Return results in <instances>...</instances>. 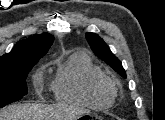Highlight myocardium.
<instances>
[{
	"instance_id": "1",
	"label": "myocardium",
	"mask_w": 165,
	"mask_h": 120,
	"mask_svg": "<svg viewBox=\"0 0 165 120\" xmlns=\"http://www.w3.org/2000/svg\"><path fill=\"white\" fill-rule=\"evenodd\" d=\"M108 82H109L113 87H115L114 82H113L110 78H108ZM115 89H116V87H115Z\"/></svg>"
}]
</instances>
